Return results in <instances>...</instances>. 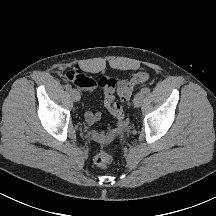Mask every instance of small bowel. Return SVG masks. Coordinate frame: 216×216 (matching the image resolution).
Here are the masks:
<instances>
[{
  "label": "small bowel",
  "mask_w": 216,
  "mask_h": 216,
  "mask_svg": "<svg viewBox=\"0 0 216 216\" xmlns=\"http://www.w3.org/2000/svg\"><path fill=\"white\" fill-rule=\"evenodd\" d=\"M80 89L86 92H92L98 88V83L91 77L85 76L82 74V79L78 82H74ZM105 96V95H104ZM104 105L108 108L106 102L104 101ZM101 113L98 111L87 110L85 112V120L88 124L92 125L100 121ZM123 126L118 124L114 127L109 128L108 130H99L94 129L91 131V137L97 142H105L116 136L121 130Z\"/></svg>",
  "instance_id": "c3829d8e"
}]
</instances>
